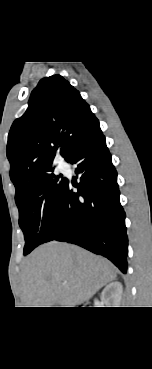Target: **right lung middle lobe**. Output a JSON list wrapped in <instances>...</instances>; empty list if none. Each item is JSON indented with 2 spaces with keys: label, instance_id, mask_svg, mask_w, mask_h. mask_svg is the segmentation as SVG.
Returning <instances> with one entry per match:
<instances>
[{
  "label": "right lung middle lobe",
  "instance_id": "obj_1",
  "mask_svg": "<svg viewBox=\"0 0 152 369\" xmlns=\"http://www.w3.org/2000/svg\"><path fill=\"white\" fill-rule=\"evenodd\" d=\"M51 169L38 177L15 198L19 209V225L24 233V255L43 244L53 231L58 205L66 179H59Z\"/></svg>",
  "mask_w": 152,
  "mask_h": 369
}]
</instances>
